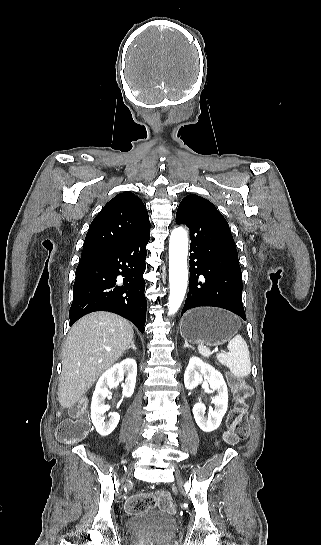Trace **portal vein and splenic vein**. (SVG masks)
<instances>
[{"instance_id":"18ae733b","label":"portal vein and splenic vein","mask_w":321,"mask_h":545,"mask_svg":"<svg viewBox=\"0 0 321 545\" xmlns=\"http://www.w3.org/2000/svg\"><path fill=\"white\" fill-rule=\"evenodd\" d=\"M217 347H218V346L215 344V345L211 348V351H210L211 354H213V355L216 354V352L218 351V348H217Z\"/></svg>"}]
</instances>
